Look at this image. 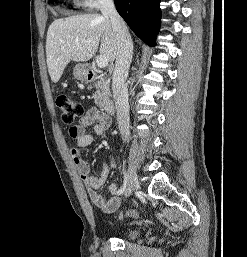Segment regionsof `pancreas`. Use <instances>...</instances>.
Returning <instances> with one entry per match:
<instances>
[{
	"label": "pancreas",
	"mask_w": 247,
	"mask_h": 257,
	"mask_svg": "<svg viewBox=\"0 0 247 257\" xmlns=\"http://www.w3.org/2000/svg\"><path fill=\"white\" fill-rule=\"evenodd\" d=\"M95 88L96 91L93 94L95 104L101 108H105L111 96L109 79L101 75L95 83Z\"/></svg>",
	"instance_id": "obj_1"
}]
</instances>
